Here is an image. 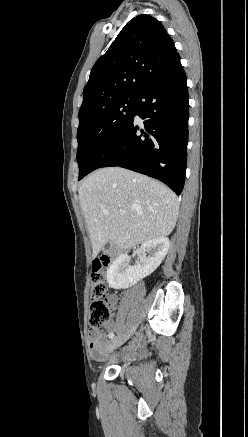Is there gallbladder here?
Instances as JSON below:
<instances>
[{"mask_svg": "<svg viewBox=\"0 0 248 437\" xmlns=\"http://www.w3.org/2000/svg\"><path fill=\"white\" fill-rule=\"evenodd\" d=\"M111 248H112V246H111L110 244H107V245L103 248V251H104V252H108Z\"/></svg>", "mask_w": 248, "mask_h": 437, "instance_id": "bac80fb5", "label": "gallbladder"}]
</instances>
